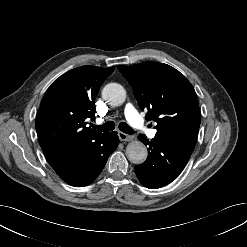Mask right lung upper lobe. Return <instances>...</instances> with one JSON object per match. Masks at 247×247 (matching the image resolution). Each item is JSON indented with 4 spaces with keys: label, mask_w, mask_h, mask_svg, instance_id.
Masks as SVG:
<instances>
[{
    "label": "right lung upper lobe",
    "mask_w": 247,
    "mask_h": 247,
    "mask_svg": "<svg viewBox=\"0 0 247 247\" xmlns=\"http://www.w3.org/2000/svg\"><path fill=\"white\" fill-rule=\"evenodd\" d=\"M114 68L81 66L60 76L45 93L36 117L42 151L50 163L68 148L92 142L106 133L87 127L101 84Z\"/></svg>",
    "instance_id": "right-lung-upper-lobe-1"
}]
</instances>
